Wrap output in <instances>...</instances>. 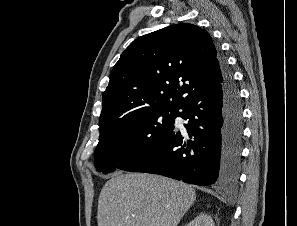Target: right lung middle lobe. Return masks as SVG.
Instances as JSON below:
<instances>
[{"mask_svg": "<svg viewBox=\"0 0 297 226\" xmlns=\"http://www.w3.org/2000/svg\"><path fill=\"white\" fill-rule=\"evenodd\" d=\"M177 114V110L149 111L100 130L94 152L97 170L106 174L125 167L174 127Z\"/></svg>", "mask_w": 297, "mask_h": 226, "instance_id": "1", "label": "right lung middle lobe"}]
</instances>
